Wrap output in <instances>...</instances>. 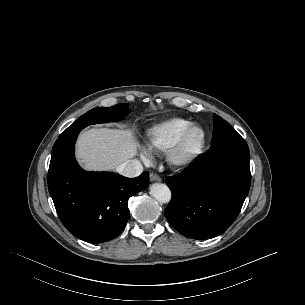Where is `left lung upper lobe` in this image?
I'll list each match as a JSON object with an SVG mask.
<instances>
[{
  "label": "left lung upper lobe",
  "instance_id": "obj_1",
  "mask_svg": "<svg viewBox=\"0 0 305 305\" xmlns=\"http://www.w3.org/2000/svg\"><path fill=\"white\" fill-rule=\"evenodd\" d=\"M214 131L211 148L207 153H217L226 150H240L249 152V148L244 139L231 127L224 119L218 115H213Z\"/></svg>",
  "mask_w": 305,
  "mask_h": 305
}]
</instances>
